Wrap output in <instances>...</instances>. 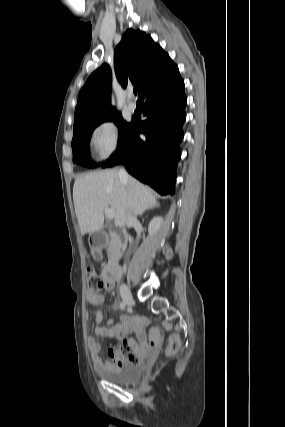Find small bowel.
<instances>
[{
    "instance_id": "1",
    "label": "small bowel",
    "mask_w": 285,
    "mask_h": 427,
    "mask_svg": "<svg viewBox=\"0 0 285 427\" xmlns=\"http://www.w3.org/2000/svg\"><path fill=\"white\" fill-rule=\"evenodd\" d=\"M104 288L112 289L115 285V282H108L105 280L104 275L102 274ZM87 301L94 307H100L104 302V296L101 293H87ZM103 319V314L100 310H97L94 313V333L101 338H111L114 340H123V343L129 341L127 336L132 332H135L138 336V346L141 348L142 352L138 357V361L144 354H146L149 350L145 334L144 327L146 325V320L139 316H131L127 314H123L120 316L118 320L109 319L105 325L100 326ZM89 348L91 352V357L94 363L95 368L98 371L104 369H115L120 368L127 365L128 361H124L122 359L121 350H109L108 355L111 357L112 361L103 362L100 359V345L95 341V339L90 338L89 340ZM134 361V362H135Z\"/></svg>"
}]
</instances>
